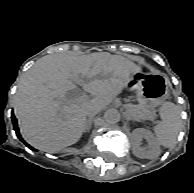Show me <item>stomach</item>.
Masks as SVG:
<instances>
[{
	"mask_svg": "<svg viewBox=\"0 0 194 193\" xmlns=\"http://www.w3.org/2000/svg\"><path fill=\"white\" fill-rule=\"evenodd\" d=\"M129 87L136 90L139 108L154 109L169 95L167 81L161 74L138 72L133 75Z\"/></svg>",
	"mask_w": 194,
	"mask_h": 193,
	"instance_id": "1",
	"label": "stomach"
}]
</instances>
